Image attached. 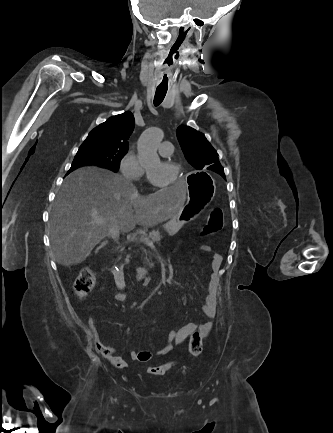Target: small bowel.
<instances>
[{
    "label": "small bowel",
    "instance_id": "c3829d8e",
    "mask_svg": "<svg viewBox=\"0 0 333 433\" xmlns=\"http://www.w3.org/2000/svg\"><path fill=\"white\" fill-rule=\"evenodd\" d=\"M203 250L210 251V247L204 246ZM222 255L219 253H214L212 255L211 261V270L215 275L221 266ZM126 297L125 292H120L117 295V299L119 301H123ZM202 313L204 317L207 319L206 322L202 324H197L194 322H189L183 327H181L177 331H170L166 337L165 345L157 352L153 353L150 350H143L140 352L132 351L130 353V357L132 360H137L141 362H149L153 359L155 355H165L172 351L174 344H180L184 342L188 337H190L194 332H199L202 337H206L212 327V319L216 313V293L213 289L208 288L207 293L204 298V304L202 306ZM88 333L90 338L92 339L93 345L97 352H99L102 356H104L108 361H110L113 365L121 368L124 366V360L115 355V349L104 344L101 341L99 332L95 325V321L92 317L88 320Z\"/></svg>",
    "mask_w": 333,
    "mask_h": 433
}]
</instances>
